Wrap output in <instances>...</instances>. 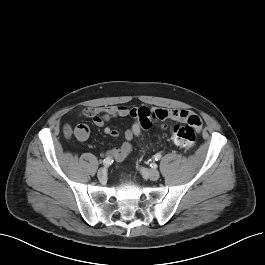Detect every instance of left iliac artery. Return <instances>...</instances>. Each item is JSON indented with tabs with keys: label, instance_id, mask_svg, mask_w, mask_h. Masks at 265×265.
I'll return each mask as SVG.
<instances>
[{
	"label": "left iliac artery",
	"instance_id": "44dca946",
	"mask_svg": "<svg viewBox=\"0 0 265 265\" xmlns=\"http://www.w3.org/2000/svg\"><path fill=\"white\" fill-rule=\"evenodd\" d=\"M161 157H162V155H161L160 153H157V154H155V155L153 156V159H154L155 161H158L159 159H161Z\"/></svg>",
	"mask_w": 265,
	"mask_h": 265
}]
</instances>
